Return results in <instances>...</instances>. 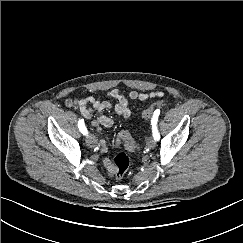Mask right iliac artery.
<instances>
[{
  "label": "right iliac artery",
  "instance_id": "1",
  "mask_svg": "<svg viewBox=\"0 0 243 243\" xmlns=\"http://www.w3.org/2000/svg\"><path fill=\"white\" fill-rule=\"evenodd\" d=\"M78 127H79V130L81 131L82 134H84V135L88 134V131H87V128H86V126L84 124V120L83 119H79Z\"/></svg>",
  "mask_w": 243,
  "mask_h": 243
}]
</instances>
